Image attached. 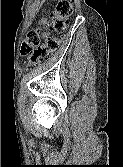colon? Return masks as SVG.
<instances>
[{
	"label": "colon",
	"mask_w": 123,
	"mask_h": 167,
	"mask_svg": "<svg viewBox=\"0 0 123 167\" xmlns=\"http://www.w3.org/2000/svg\"><path fill=\"white\" fill-rule=\"evenodd\" d=\"M73 13L71 0H59L55 11L52 13V29L57 34L65 31L69 17ZM61 40L58 36L47 39L40 44L37 30L29 31L22 44L21 54L27 57V65L32 67L41 64L46 58L60 46Z\"/></svg>",
	"instance_id": "obj_1"
}]
</instances>
